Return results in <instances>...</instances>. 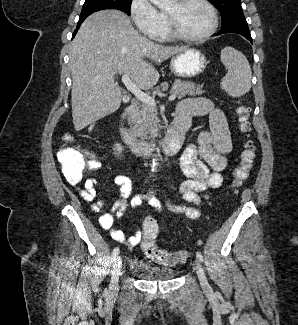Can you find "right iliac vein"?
I'll use <instances>...</instances> for the list:
<instances>
[{
  "label": "right iliac vein",
  "mask_w": 298,
  "mask_h": 325,
  "mask_svg": "<svg viewBox=\"0 0 298 325\" xmlns=\"http://www.w3.org/2000/svg\"><path fill=\"white\" fill-rule=\"evenodd\" d=\"M121 269H122V262H121V258L118 257L113 267V273H112L110 286H109V290L111 294H115L118 290V281H119V276L121 274Z\"/></svg>",
  "instance_id": "right-iliac-vein-1"
}]
</instances>
